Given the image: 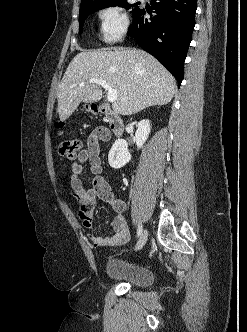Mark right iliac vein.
Segmentation results:
<instances>
[{
  "mask_svg": "<svg viewBox=\"0 0 247 332\" xmlns=\"http://www.w3.org/2000/svg\"><path fill=\"white\" fill-rule=\"evenodd\" d=\"M147 237H148V232L145 230L141 234V236H140V238H139V240H138V242L135 246V250H140L145 245V243L147 241Z\"/></svg>",
  "mask_w": 247,
  "mask_h": 332,
  "instance_id": "63e3f726",
  "label": "right iliac vein"
}]
</instances>
